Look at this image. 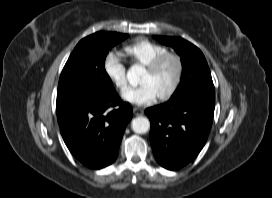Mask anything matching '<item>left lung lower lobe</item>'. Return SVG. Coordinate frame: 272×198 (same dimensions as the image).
Here are the masks:
<instances>
[{
    "label": "left lung lower lobe",
    "instance_id": "0a47b994",
    "mask_svg": "<svg viewBox=\"0 0 272 198\" xmlns=\"http://www.w3.org/2000/svg\"><path fill=\"white\" fill-rule=\"evenodd\" d=\"M214 107V90H193L145 110L152 150L162 167L178 170L199 154L212 126Z\"/></svg>",
    "mask_w": 272,
    "mask_h": 198
}]
</instances>
